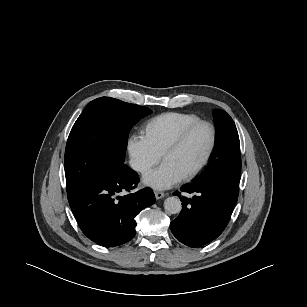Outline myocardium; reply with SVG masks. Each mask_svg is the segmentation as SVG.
<instances>
[{"label":"myocardium","instance_id":"f54148a6","mask_svg":"<svg viewBox=\"0 0 307 307\" xmlns=\"http://www.w3.org/2000/svg\"><path fill=\"white\" fill-rule=\"evenodd\" d=\"M200 126H205L209 129V131H210V143H209L208 149H207L203 159L201 160V162L191 172H189L188 174L183 176L182 179H184L185 181H189V180L194 179L197 175H199L201 173V171L208 164V162H209V160H210V158H211V156L214 152L215 146H216L217 132H216L215 126L211 122L206 121V120H198L196 122L189 124L175 137V139L167 146V148L164 150V152L162 154V159L164 160L167 155L176 151L185 142L187 137L196 128H198Z\"/></svg>","mask_w":307,"mask_h":307}]
</instances>
